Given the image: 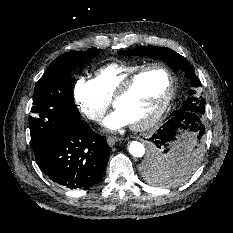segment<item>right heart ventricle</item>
<instances>
[{
    "label": "right heart ventricle",
    "mask_w": 233,
    "mask_h": 233,
    "mask_svg": "<svg viewBox=\"0 0 233 233\" xmlns=\"http://www.w3.org/2000/svg\"><path fill=\"white\" fill-rule=\"evenodd\" d=\"M145 66V64H109L97 69L93 79L102 96L111 101L123 81Z\"/></svg>",
    "instance_id": "e07e8e85"
}]
</instances>
